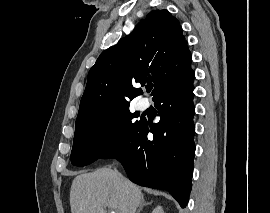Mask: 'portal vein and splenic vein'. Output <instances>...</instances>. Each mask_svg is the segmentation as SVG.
Segmentation results:
<instances>
[{
  "instance_id": "1",
  "label": "portal vein and splenic vein",
  "mask_w": 270,
  "mask_h": 213,
  "mask_svg": "<svg viewBox=\"0 0 270 213\" xmlns=\"http://www.w3.org/2000/svg\"><path fill=\"white\" fill-rule=\"evenodd\" d=\"M110 213H116L115 211H111Z\"/></svg>"
}]
</instances>
